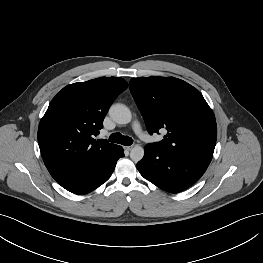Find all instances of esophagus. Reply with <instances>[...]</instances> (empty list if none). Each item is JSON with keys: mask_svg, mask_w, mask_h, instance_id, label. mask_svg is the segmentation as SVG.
Masks as SVG:
<instances>
[{"mask_svg": "<svg viewBox=\"0 0 263 263\" xmlns=\"http://www.w3.org/2000/svg\"><path fill=\"white\" fill-rule=\"evenodd\" d=\"M132 147H133V146H126V147H124V148H125V150L130 151V150L132 149Z\"/></svg>", "mask_w": 263, "mask_h": 263, "instance_id": "1", "label": "esophagus"}]
</instances>
